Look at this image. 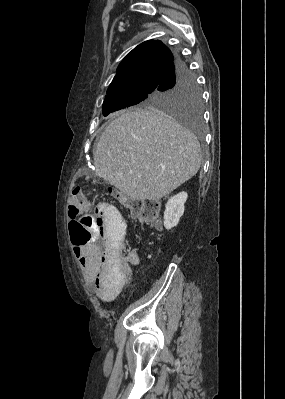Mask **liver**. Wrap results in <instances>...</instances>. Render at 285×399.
<instances>
[{
    "mask_svg": "<svg viewBox=\"0 0 285 399\" xmlns=\"http://www.w3.org/2000/svg\"><path fill=\"white\" fill-rule=\"evenodd\" d=\"M96 176L131 200H159L193 177L201 164L196 137L165 113L122 112L93 153Z\"/></svg>",
    "mask_w": 285,
    "mask_h": 399,
    "instance_id": "6515ba94",
    "label": "liver"
}]
</instances>
